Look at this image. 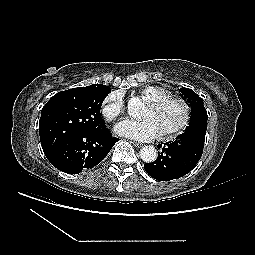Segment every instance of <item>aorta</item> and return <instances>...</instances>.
I'll use <instances>...</instances> for the list:
<instances>
[{"instance_id": "obj_1", "label": "aorta", "mask_w": 255, "mask_h": 255, "mask_svg": "<svg viewBox=\"0 0 255 255\" xmlns=\"http://www.w3.org/2000/svg\"><path fill=\"white\" fill-rule=\"evenodd\" d=\"M142 102L139 98H132L128 102V109L129 113L137 117L139 115V110L141 109ZM157 150L155 149L154 146H144L140 150V158L147 163H152L156 160L157 158Z\"/></svg>"}]
</instances>
